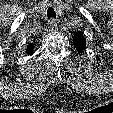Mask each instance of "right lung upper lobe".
Here are the masks:
<instances>
[{"mask_svg":"<svg viewBox=\"0 0 113 113\" xmlns=\"http://www.w3.org/2000/svg\"><path fill=\"white\" fill-rule=\"evenodd\" d=\"M33 49H34V45H33V44H29V45L27 46V53H28L29 55H31V54L33 53Z\"/></svg>","mask_w":113,"mask_h":113,"instance_id":"right-lung-upper-lobe-1","label":"right lung upper lobe"}]
</instances>
